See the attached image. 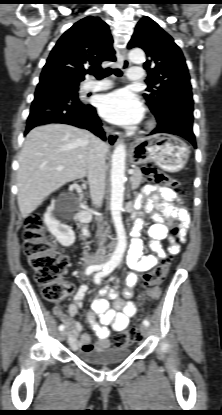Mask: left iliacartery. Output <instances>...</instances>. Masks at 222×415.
<instances>
[{
	"label": "left iliac artery",
	"mask_w": 222,
	"mask_h": 415,
	"mask_svg": "<svg viewBox=\"0 0 222 415\" xmlns=\"http://www.w3.org/2000/svg\"><path fill=\"white\" fill-rule=\"evenodd\" d=\"M115 266L114 265H107L105 269H103L101 272L97 273L94 277V280L97 284H100L101 278L109 275L113 270ZM143 324L145 326H149V321L147 319H144Z\"/></svg>",
	"instance_id": "1"
}]
</instances>
